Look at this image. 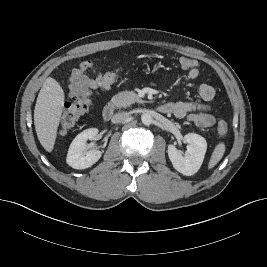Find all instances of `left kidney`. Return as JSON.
<instances>
[{
	"label": "left kidney",
	"instance_id": "left-kidney-1",
	"mask_svg": "<svg viewBox=\"0 0 267 267\" xmlns=\"http://www.w3.org/2000/svg\"><path fill=\"white\" fill-rule=\"evenodd\" d=\"M188 144L185 155L174 146H168V156L173 167L186 176L195 174L201 167L207 150V142L204 137L196 133H188L184 136Z\"/></svg>",
	"mask_w": 267,
	"mask_h": 267
}]
</instances>
